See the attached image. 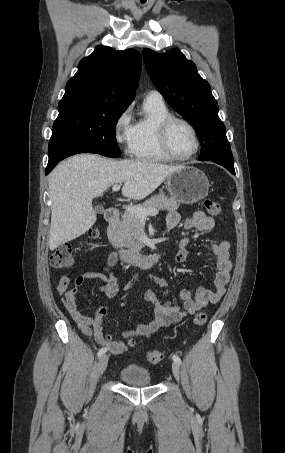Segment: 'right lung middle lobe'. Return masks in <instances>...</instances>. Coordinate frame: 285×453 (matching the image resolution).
Wrapping results in <instances>:
<instances>
[{"mask_svg": "<svg viewBox=\"0 0 285 453\" xmlns=\"http://www.w3.org/2000/svg\"><path fill=\"white\" fill-rule=\"evenodd\" d=\"M52 132H62L107 157L121 155L115 127L126 107L99 101H68L58 105Z\"/></svg>", "mask_w": 285, "mask_h": 453, "instance_id": "right-lung-middle-lobe-1", "label": "right lung middle lobe"}]
</instances>
